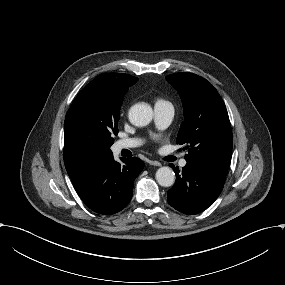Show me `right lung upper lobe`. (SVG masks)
I'll return each instance as SVG.
<instances>
[{"instance_id":"obj_1","label":"right lung upper lobe","mask_w":285,"mask_h":285,"mask_svg":"<svg viewBox=\"0 0 285 285\" xmlns=\"http://www.w3.org/2000/svg\"><path fill=\"white\" fill-rule=\"evenodd\" d=\"M137 80L138 78L128 74H100L80 91L74 103L88 112L114 107L123 101L128 87ZM112 158L111 151L83 150L64 145V163L74 187Z\"/></svg>"}]
</instances>
